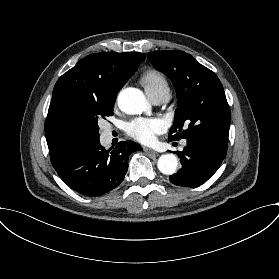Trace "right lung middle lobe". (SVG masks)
I'll return each mask as SVG.
<instances>
[{
  "label": "right lung middle lobe",
  "mask_w": 279,
  "mask_h": 279,
  "mask_svg": "<svg viewBox=\"0 0 279 279\" xmlns=\"http://www.w3.org/2000/svg\"><path fill=\"white\" fill-rule=\"evenodd\" d=\"M116 95L82 96L67 110L65 122L73 138L85 145L99 140L98 119L113 115Z\"/></svg>",
  "instance_id": "1"
}]
</instances>
